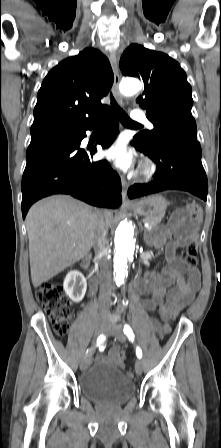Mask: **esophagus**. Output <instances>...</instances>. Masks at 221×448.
I'll list each match as a JSON object with an SVG mask.
<instances>
[{"instance_id": "esophagus-1", "label": "esophagus", "mask_w": 221, "mask_h": 448, "mask_svg": "<svg viewBox=\"0 0 221 448\" xmlns=\"http://www.w3.org/2000/svg\"><path fill=\"white\" fill-rule=\"evenodd\" d=\"M110 63H111L113 73H114L113 93H114L115 97L117 98V100L122 104L121 95L119 93V88H118L119 82H120V75H119V69H118V65H117V59L114 54L110 55ZM128 187H129V183L123 178L122 179V198H123L124 204L130 203V200L127 198Z\"/></svg>"}]
</instances>
